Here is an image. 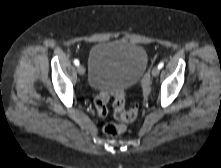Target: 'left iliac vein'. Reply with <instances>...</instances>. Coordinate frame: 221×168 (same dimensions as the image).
<instances>
[{"label": "left iliac vein", "mask_w": 221, "mask_h": 168, "mask_svg": "<svg viewBox=\"0 0 221 168\" xmlns=\"http://www.w3.org/2000/svg\"><path fill=\"white\" fill-rule=\"evenodd\" d=\"M159 72H160V69H159L158 67H154V68L152 69V76H153V77L158 76V75H159Z\"/></svg>", "instance_id": "4c4485c4"}]
</instances>
